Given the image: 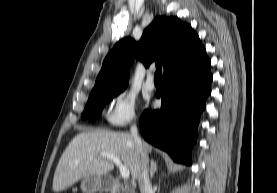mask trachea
<instances>
[{
  "instance_id": "3493384b",
  "label": "trachea",
  "mask_w": 277,
  "mask_h": 193,
  "mask_svg": "<svg viewBox=\"0 0 277 193\" xmlns=\"http://www.w3.org/2000/svg\"><path fill=\"white\" fill-rule=\"evenodd\" d=\"M154 80L155 81H162V67H157L156 72L154 74Z\"/></svg>"
}]
</instances>
